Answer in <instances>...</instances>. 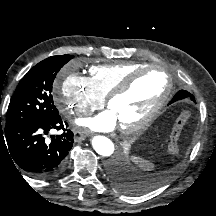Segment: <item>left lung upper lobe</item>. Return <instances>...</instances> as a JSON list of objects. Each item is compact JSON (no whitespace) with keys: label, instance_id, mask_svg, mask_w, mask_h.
Segmentation results:
<instances>
[{"label":"left lung upper lobe","instance_id":"5c2ea615","mask_svg":"<svg viewBox=\"0 0 216 216\" xmlns=\"http://www.w3.org/2000/svg\"><path fill=\"white\" fill-rule=\"evenodd\" d=\"M180 92H181V93H185V94H187V95H190V93H188L187 91H184V90H181ZM190 98H191V100L194 101V97H193L192 95H190Z\"/></svg>","mask_w":216,"mask_h":216}]
</instances>
